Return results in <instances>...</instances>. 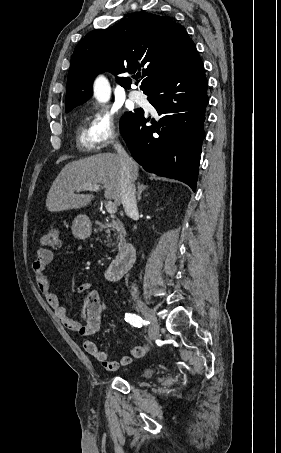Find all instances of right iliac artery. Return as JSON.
Wrapping results in <instances>:
<instances>
[{
	"instance_id": "right-iliac-artery-1",
	"label": "right iliac artery",
	"mask_w": 281,
	"mask_h": 453,
	"mask_svg": "<svg viewBox=\"0 0 281 453\" xmlns=\"http://www.w3.org/2000/svg\"><path fill=\"white\" fill-rule=\"evenodd\" d=\"M125 321L138 328L142 327V325L144 324V321L141 317L130 313L125 314Z\"/></svg>"
}]
</instances>
